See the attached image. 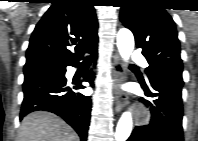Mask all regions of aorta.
I'll use <instances>...</instances> for the list:
<instances>
[{"instance_id":"aorta-1","label":"aorta","mask_w":198,"mask_h":141,"mask_svg":"<svg viewBox=\"0 0 198 141\" xmlns=\"http://www.w3.org/2000/svg\"><path fill=\"white\" fill-rule=\"evenodd\" d=\"M117 47L120 56L127 62L134 50V37L130 30L124 28L119 30L117 33ZM132 126V115L129 111H126L118 121L115 140L126 141L131 134Z\"/></svg>"}]
</instances>
